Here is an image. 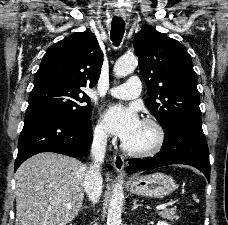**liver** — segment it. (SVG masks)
I'll use <instances>...</instances> for the list:
<instances>
[{
	"instance_id": "obj_1",
	"label": "liver",
	"mask_w": 228,
	"mask_h": 225,
	"mask_svg": "<svg viewBox=\"0 0 228 225\" xmlns=\"http://www.w3.org/2000/svg\"><path fill=\"white\" fill-rule=\"evenodd\" d=\"M85 175L81 161L65 155L39 153L27 159L15 173V225L71 223L82 207Z\"/></svg>"
}]
</instances>
